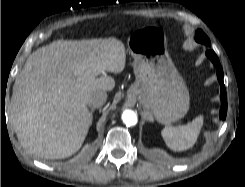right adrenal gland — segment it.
Masks as SVG:
<instances>
[{"instance_id": "2a0ac1e0", "label": "right adrenal gland", "mask_w": 245, "mask_h": 187, "mask_svg": "<svg viewBox=\"0 0 245 187\" xmlns=\"http://www.w3.org/2000/svg\"><path fill=\"white\" fill-rule=\"evenodd\" d=\"M93 112H94V110L91 111V115H92Z\"/></svg>"}]
</instances>
